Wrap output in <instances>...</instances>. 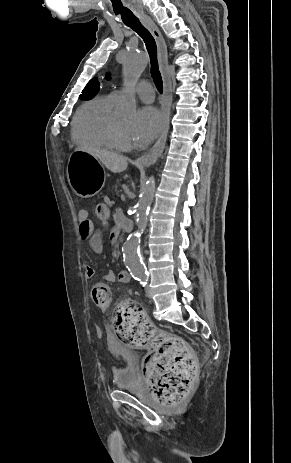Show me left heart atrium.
<instances>
[{
	"instance_id": "left-heart-atrium-1",
	"label": "left heart atrium",
	"mask_w": 291,
	"mask_h": 463,
	"mask_svg": "<svg viewBox=\"0 0 291 463\" xmlns=\"http://www.w3.org/2000/svg\"><path fill=\"white\" fill-rule=\"evenodd\" d=\"M163 129V117L154 107L141 108L136 122L130 130V136L137 144H146L153 140Z\"/></svg>"
}]
</instances>
